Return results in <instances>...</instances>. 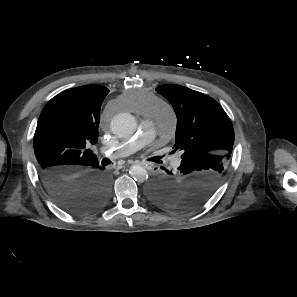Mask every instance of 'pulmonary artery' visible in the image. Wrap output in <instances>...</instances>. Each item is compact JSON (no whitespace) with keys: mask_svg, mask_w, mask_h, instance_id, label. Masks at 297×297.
Returning a JSON list of instances; mask_svg holds the SVG:
<instances>
[{"mask_svg":"<svg viewBox=\"0 0 297 297\" xmlns=\"http://www.w3.org/2000/svg\"><path fill=\"white\" fill-rule=\"evenodd\" d=\"M175 122L173 110L168 106H163L157 115L148 121H145L140 129L130 138L123 140L114 147H105L104 151L117 156L131 154L154 139L157 133H160L172 127Z\"/></svg>","mask_w":297,"mask_h":297,"instance_id":"e3ab8cb5","label":"pulmonary artery"}]
</instances>
